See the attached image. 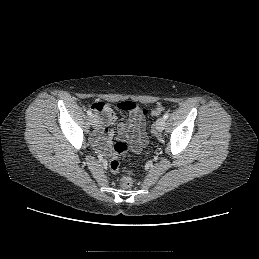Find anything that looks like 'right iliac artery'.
<instances>
[{
	"label": "right iliac artery",
	"instance_id": "82829eb1",
	"mask_svg": "<svg viewBox=\"0 0 259 259\" xmlns=\"http://www.w3.org/2000/svg\"><path fill=\"white\" fill-rule=\"evenodd\" d=\"M87 114H88L89 116H91V115H92L91 110H88V111H87Z\"/></svg>",
	"mask_w": 259,
	"mask_h": 259
}]
</instances>
